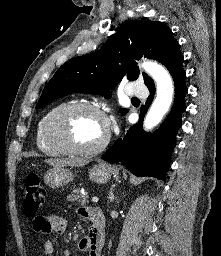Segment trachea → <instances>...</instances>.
Instances as JSON below:
<instances>
[{
  "mask_svg": "<svg viewBox=\"0 0 221 256\" xmlns=\"http://www.w3.org/2000/svg\"><path fill=\"white\" fill-rule=\"evenodd\" d=\"M133 100H138L137 98H132Z\"/></svg>",
  "mask_w": 221,
  "mask_h": 256,
  "instance_id": "3493384b",
  "label": "trachea"
}]
</instances>
